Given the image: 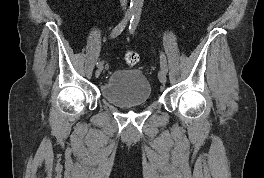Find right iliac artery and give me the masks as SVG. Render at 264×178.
<instances>
[{"label":"right iliac artery","mask_w":264,"mask_h":178,"mask_svg":"<svg viewBox=\"0 0 264 178\" xmlns=\"http://www.w3.org/2000/svg\"><path fill=\"white\" fill-rule=\"evenodd\" d=\"M133 11L129 10L126 12L124 18L122 19V21L113 29L110 38H115L118 35L121 34V32L125 29L128 21L130 20V18L133 16ZM103 66V61H98L97 62V67H102Z\"/></svg>","instance_id":"1"}]
</instances>
